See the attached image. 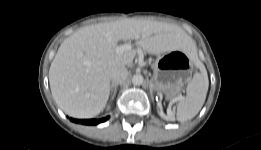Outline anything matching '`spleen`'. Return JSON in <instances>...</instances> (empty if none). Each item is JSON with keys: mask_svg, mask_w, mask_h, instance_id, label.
I'll list each match as a JSON object with an SVG mask.
<instances>
[{"mask_svg": "<svg viewBox=\"0 0 261 150\" xmlns=\"http://www.w3.org/2000/svg\"><path fill=\"white\" fill-rule=\"evenodd\" d=\"M209 80L206 69L195 73L186 87V96L179 99L176 118L180 122L194 118L201 110L207 95Z\"/></svg>", "mask_w": 261, "mask_h": 150, "instance_id": "1", "label": "spleen"}]
</instances>
